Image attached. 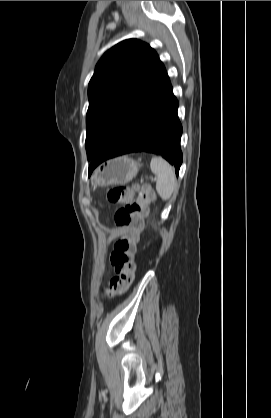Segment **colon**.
<instances>
[{
  "label": "colon",
  "instance_id": "colon-1",
  "mask_svg": "<svg viewBox=\"0 0 271 418\" xmlns=\"http://www.w3.org/2000/svg\"><path fill=\"white\" fill-rule=\"evenodd\" d=\"M134 194L137 195L134 198ZM108 200L121 206L115 213L116 225L125 230L114 245L111 254V264L116 271V276L111 280L110 290L113 293H122L128 289L135 276L134 256L139 241V232L143 219L149 212V206L155 200V193L147 184H139L133 187L115 186L108 191Z\"/></svg>",
  "mask_w": 271,
  "mask_h": 418
}]
</instances>
